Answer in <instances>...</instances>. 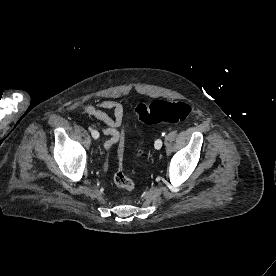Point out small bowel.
<instances>
[{
  "label": "small bowel",
  "mask_w": 276,
  "mask_h": 276,
  "mask_svg": "<svg viewBox=\"0 0 276 276\" xmlns=\"http://www.w3.org/2000/svg\"><path fill=\"white\" fill-rule=\"evenodd\" d=\"M107 110H111L113 116H110L106 112ZM84 112L106 125V127H101L102 133L108 136V140L104 143L106 149H109L122 138V134L118 130L124 120V107L121 103L114 100H104L97 105L87 104L84 106Z\"/></svg>",
  "instance_id": "1"
}]
</instances>
